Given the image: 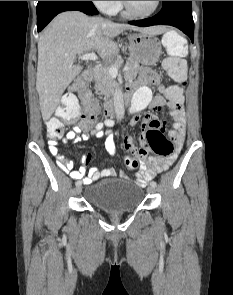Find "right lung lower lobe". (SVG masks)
I'll list each match as a JSON object with an SVG mask.
<instances>
[{
  "mask_svg": "<svg viewBox=\"0 0 233 295\" xmlns=\"http://www.w3.org/2000/svg\"><path fill=\"white\" fill-rule=\"evenodd\" d=\"M74 10L87 15L98 14L92 1H39L37 4V31L40 32L58 13Z\"/></svg>",
  "mask_w": 233,
  "mask_h": 295,
  "instance_id": "right-lung-lower-lobe-1",
  "label": "right lung lower lobe"
}]
</instances>
